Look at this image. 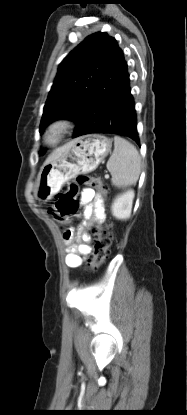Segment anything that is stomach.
Segmentation results:
<instances>
[{
    "mask_svg": "<svg viewBox=\"0 0 187 415\" xmlns=\"http://www.w3.org/2000/svg\"><path fill=\"white\" fill-rule=\"evenodd\" d=\"M69 144L60 157L41 167L34 190L37 200L47 202L65 182L80 173L95 170L111 151L112 139L93 134L74 139Z\"/></svg>",
    "mask_w": 187,
    "mask_h": 415,
    "instance_id": "1",
    "label": "stomach"
}]
</instances>
